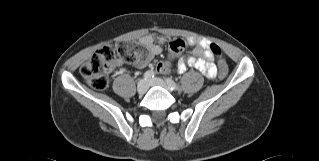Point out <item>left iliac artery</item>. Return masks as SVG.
Masks as SVG:
<instances>
[{
	"label": "left iliac artery",
	"mask_w": 319,
	"mask_h": 161,
	"mask_svg": "<svg viewBox=\"0 0 319 161\" xmlns=\"http://www.w3.org/2000/svg\"><path fill=\"white\" fill-rule=\"evenodd\" d=\"M165 81L167 82L168 86L171 90H178L179 86L170 78H165Z\"/></svg>",
	"instance_id": "1"
}]
</instances>
